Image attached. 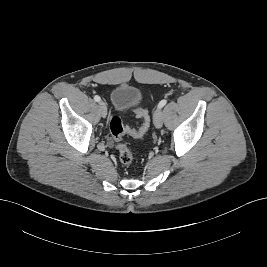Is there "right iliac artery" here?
<instances>
[{
  "instance_id": "1",
  "label": "right iliac artery",
  "mask_w": 267,
  "mask_h": 267,
  "mask_svg": "<svg viewBox=\"0 0 267 267\" xmlns=\"http://www.w3.org/2000/svg\"><path fill=\"white\" fill-rule=\"evenodd\" d=\"M94 100L99 102L101 99H100V97L98 95H96V96H94Z\"/></svg>"
}]
</instances>
